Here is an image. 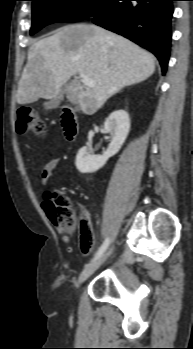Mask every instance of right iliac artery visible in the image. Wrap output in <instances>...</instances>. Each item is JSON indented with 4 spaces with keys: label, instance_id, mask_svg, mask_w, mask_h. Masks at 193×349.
Wrapping results in <instances>:
<instances>
[{
    "label": "right iliac artery",
    "instance_id": "obj_1",
    "mask_svg": "<svg viewBox=\"0 0 193 349\" xmlns=\"http://www.w3.org/2000/svg\"><path fill=\"white\" fill-rule=\"evenodd\" d=\"M108 245H109V238H106L103 244L101 245V247L99 248V250L97 251V253L95 254L92 261H95L98 258H100L102 254L105 252V250L107 249Z\"/></svg>",
    "mask_w": 193,
    "mask_h": 349
}]
</instances>
